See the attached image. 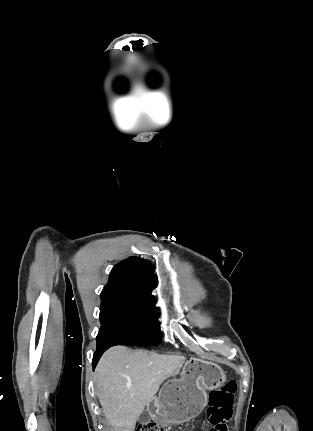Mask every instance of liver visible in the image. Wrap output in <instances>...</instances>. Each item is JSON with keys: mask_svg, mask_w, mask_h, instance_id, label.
Here are the masks:
<instances>
[{"mask_svg": "<svg viewBox=\"0 0 313 431\" xmlns=\"http://www.w3.org/2000/svg\"><path fill=\"white\" fill-rule=\"evenodd\" d=\"M185 360L184 356L132 351L124 346L107 350L95 371L96 390L114 431H134L139 416L160 385L177 374Z\"/></svg>", "mask_w": 313, "mask_h": 431, "instance_id": "6515ba94", "label": "liver"}]
</instances>
